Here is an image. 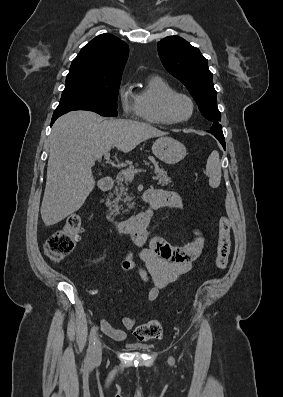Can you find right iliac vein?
<instances>
[{
	"mask_svg": "<svg viewBox=\"0 0 283 397\" xmlns=\"http://www.w3.org/2000/svg\"><path fill=\"white\" fill-rule=\"evenodd\" d=\"M102 354V345L99 339L96 340V345L93 353V359L98 360Z\"/></svg>",
	"mask_w": 283,
	"mask_h": 397,
	"instance_id": "63e3f726",
	"label": "right iliac vein"
}]
</instances>
